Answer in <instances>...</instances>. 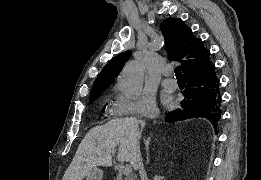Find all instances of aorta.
<instances>
[{
	"mask_svg": "<svg viewBox=\"0 0 261 180\" xmlns=\"http://www.w3.org/2000/svg\"><path fill=\"white\" fill-rule=\"evenodd\" d=\"M145 67L139 61L127 63L119 78L120 90L129 98L136 99L143 88Z\"/></svg>",
	"mask_w": 261,
	"mask_h": 180,
	"instance_id": "762f6f07",
	"label": "aorta"
}]
</instances>
